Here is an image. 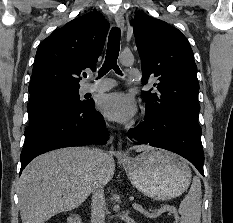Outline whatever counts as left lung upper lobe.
<instances>
[{"label":"left lung upper lobe","instance_id":"1","mask_svg":"<svg viewBox=\"0 0 233 223\" xmlns=\"http://www.w3.org/2000/svg\"><path fill=\"white\" fill-rule=\"evenodd\" d=\"M132 25L141 58L142 82L145 84L149 78L157 81L154 89L142 92L145 117H198L197 66L186 37L168 23L141 13L135 15Z\"/></svg>","mask_w":233,"mask_h":223}]
</instances>
